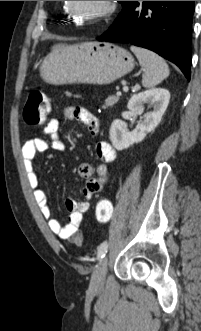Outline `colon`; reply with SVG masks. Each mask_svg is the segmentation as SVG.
Segmentation results:
<instances>
[{"label": "colon", "mask_w": 201, "mask_h": 331, "mask_svg": "<svg viewBox=\"0 0 201 331\" xmlns=\"http://www.w3.org/2000/svg\"><path fill=\"white\" fill-rule=\"evenodd\" d=\"M50 111L47 96L39 91H32L25 103L23 118L28 125H41L47 121ZM113 215V205L108 199H100L96 204L95 217L98 223H108ZM82 241V240H81ZM77 241L76 244H80Z\"/></svg>", "instance_id": "1"}]
</instances>
